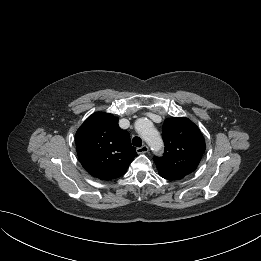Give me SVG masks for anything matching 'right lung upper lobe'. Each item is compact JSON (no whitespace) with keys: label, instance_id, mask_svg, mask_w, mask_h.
<instances>
[{"label":"right lung upper lobe","instance_id":"1","mask_svg":"<svg viewBox=\"0 0 261 261\" xmlns=\"http://www.w3.org/2000/svg\"><path fill=\"white\" fill-rule=\"evenodd\" d=\"M79 160L85 170L100 180L125 174L137 156L130 135L118 125V118L109 113H93L75 135Z\"/></svg>","mask_w":261,"mask_h":261}]
</instances>
